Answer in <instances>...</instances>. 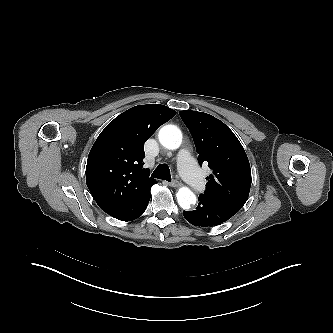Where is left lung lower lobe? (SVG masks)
Segmentation results:
<instances>
[{"mask_svg":"<svg viewBox=\"0 0 333 333\" xmlns=\"http://www.w3.org/2000/svg\"><path fill=\"white\" fill-rule=\"evenodd\" d=\"M234 213L214 201L200 195L196 210L183 211V216L191 224L199 227L219 225L230 219Z\"/></svg>","mask_w":333,"mask_h":333,"instance_id":"obj_1","label":"left lung lower lobe"}]
</instances>
